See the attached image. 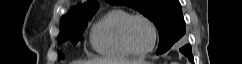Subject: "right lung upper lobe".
<instances>
[{"instance_id": "right-lung-upper-lobe-1", "label": "right lung upper lobe", "mask_w": 242, "mask_h": 64, "mask_svg": "<svg viewBox=\"0 0 242 64\" xmlns=\"http://www.w3.org/2000/svg\"><path fill=\"white\" fill-rule=\"evenodd\" d=\"M99 8V4L92 0L84 5H78L72 9L69 13L63 16L61 24H68L80 20L82 17L96 12Z\"/></svg>"}]
</instances>
